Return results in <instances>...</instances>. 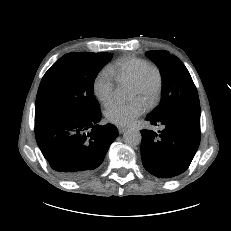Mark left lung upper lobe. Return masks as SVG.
<instances>
[{"instance_id": "left-lung-upper-lobe-1", "label": "left lung upper lobe", "mask_w": 231, "mask_h": 231, "mask_svg": "<svg viewBox=\"0 0 231 231\" xmlns=\"http://www.w3.org/2000/svg\"><path fill=\"white\" fill-rule=\"evenodd\" d=\"M146 56L159 67L164 84L161 103L148 117H169L188 111L200 112L197 89L181 60L163 50L148 51Z\"/></svg>"}]
</instances>
